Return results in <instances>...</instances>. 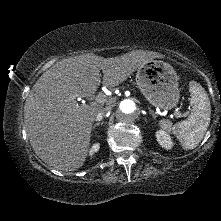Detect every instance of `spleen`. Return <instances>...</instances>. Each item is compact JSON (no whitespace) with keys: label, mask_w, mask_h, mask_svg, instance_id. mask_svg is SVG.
Segmentation results:
<instances>
[{"label":"spleen","mask_w":221,"mask_h":221,"mask_svg":"<svg viewBox=\"0 0 221 221\" xmlns=\"http://www.w3.org/2000/svg\"><path fill=\"white\" fill-rule=\"evenodd\" d=\"M189 91L191 93V114L184 121L175 125L170 120L164 119L159 125L177 137L185 150H192L201 142L210 123L211 107L207 92L196 81H190Z\"/></svg>","instance_id":"3e777b00"}]
</instances>
